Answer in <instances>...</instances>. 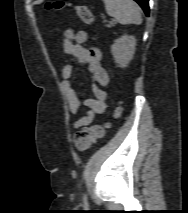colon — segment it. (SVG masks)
Wrapping results in <instances>:
<instances>
[{
	"label": "colon",
	"instance_id": "obj_1",
	"mask_svg": "<svg viewBox=\"0 0 188 213\" xmlns=\"http://www.w3.org/2000/svg\"><path fill=\"white\" fill-rule=\"evenodd\" d=\"M67 4L63 0H54L46 4L47 10L63 9ZM77 16L86 24H90L94 20L91 10L87 6H73ZM121 112V107L118 105L114 110V116H118ZM109 123H99L89 127H84L78 130L74 135V145L79 150L88 149L97 139L104 136Z\"/></svg>",
	"mask_w": 188,
	"mask_h": 213
}]
</instances>
